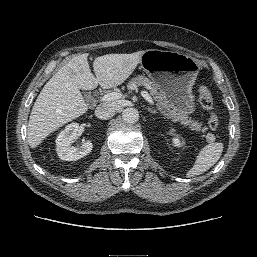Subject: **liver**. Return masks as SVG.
I'll list each match as a JSON object with an SVG mask.
<instances>
[{"label":"liver","instance_id":"6515ba94","mask_svg":"<svg viewBox=\"0 0 257 257\" xmlns=\"http://www.w3.org/2000/svg\"><path fill=\"white\" fill-rule=\"evenodd\" d=\"M143 51L131 54H106L95 58L91 72L88 55L72 58L44 85L32 108L27 140L36 148L50 133L83 115L88 110L82 90L121 85L141 61Z\"/></svg>","mask_w":257,"mask_h":257}]
</instances>
